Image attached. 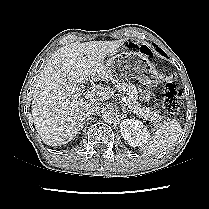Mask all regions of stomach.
Here are the masks:
<instances>
[{"label": "stomach", "instance_id": "1", "mask_svg": "<svg viewBox=\"0 0 209 209\" xmlns=\"http://www.w3.org/2000/svg\"><path fill=\"white\" fill-rule=\"evenodd\" d=\"M112 75L121 83H132L135 80L151 85L159 82V74L154 65L143 54L127 51L110 60Z\"/></svg>", "mask_w": 209, "mask_h": 209}]
</instances>
